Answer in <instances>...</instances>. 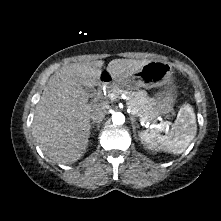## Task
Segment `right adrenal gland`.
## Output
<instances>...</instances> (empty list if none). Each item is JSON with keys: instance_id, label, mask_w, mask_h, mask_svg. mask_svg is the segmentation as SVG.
Returning a JSON list of instances; mask_svg holds the SVG:
<instances>
[{"instance_id": "2a0ac1e0", "label": "right adrenal gland", "mask_w": 221, "mask_h": 221, "mask_svg": "<svg viewBox=\"0 0 221 221\" xmlns=\"http://www.w3.org/2000/svg\"><path fill=\"white\" fill-rule=\"evenodd\" d=\"M95 123H97V124H96L97 128L100 127V122H92V123H91V127H90L91 129L94 128Z\"/></svg>"}]
</instances>
